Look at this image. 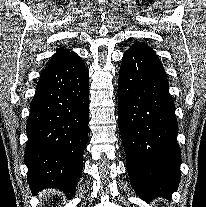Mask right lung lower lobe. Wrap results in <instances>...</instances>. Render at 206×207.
<instances>
[{"instance_id":"98d812e1","label":"right lung lower lobe","mask_w":206,"mask_h":207,"mask_svg":"<svg viewBox=\"0 0 206 207\" xmlns=\"http://www.w3.org/2000/svg\"><path fill=\"white\" fill-rule=\"evenodd\" d=\"M89 77L76 55L45 68L27 121L25 164L31 191L57 188L68 198L79 181L88 136Z\"/></svg>"}]
</instances>
